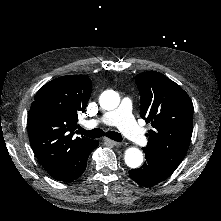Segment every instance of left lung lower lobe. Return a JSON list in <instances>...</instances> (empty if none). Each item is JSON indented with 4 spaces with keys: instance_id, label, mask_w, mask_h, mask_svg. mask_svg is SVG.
<instances>
[{
    "instance_id": "0a47b994",
    "label": "left lung lower lobe",
    "mask_w": 221,
    "mask_h": 221,
    "mask_svg": "<svg viewBox=\"0 0 221 221\" xmlns=\"http://www.w3.org/2000/svg\"><path fill=\"white\" fill-rule=\"evenodd\" d=\"M146 162L138 169L129 171L130 177L139 185L152 187L167 179L173 170L162 165L153 155L145 152Z\"/></svg>"
}]
</instances>
